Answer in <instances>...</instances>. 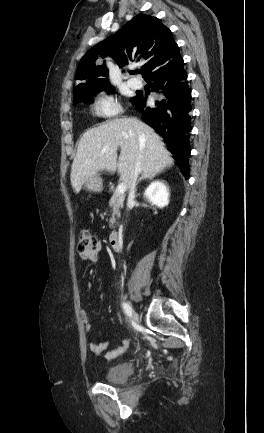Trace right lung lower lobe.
<instances>
[{
  "label": "right lung lower lobe",
  "instance_id": "1",
  "mask_svg": "<svg viewBox=\"0 0 264 433\" xmlns=\"http://www.w3.org/2000/svg\"><path fill=\"white\" fill-rule=\"evenodd\" d=\"M181 55L158 66L144 76L157 94L153 105L147 96L137 94L132 103L141 112L143 121L153 127L168 143L182 174L189 178V133L191 131V92Z\"/></svg>",
  "mask_w": 264,
  "mask_h": 433
}]
</instances>
